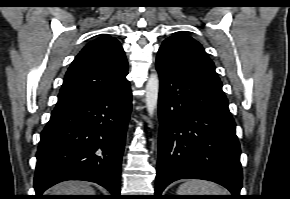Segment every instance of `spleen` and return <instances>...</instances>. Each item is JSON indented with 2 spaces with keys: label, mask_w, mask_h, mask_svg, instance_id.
I'll return each instance as SVG.
<instances>
[{
  "label": "spleen",
  "mask_w": 290,
  "mask_h": 199,
  "mask_svg": "<svg viewBox=\"0 0 290 199\" xmlns=\"http://www.w3.org/2000/svg\"><path fill=\"white\" fill-rule=\"evenodd\" d=\"M178 195H227L219 185L205 180H188L177 190Z\"/></svg>",
  "instance_id": "1"
}]
</instances>
